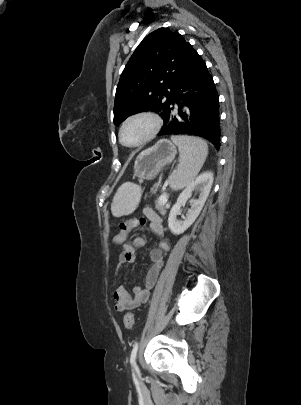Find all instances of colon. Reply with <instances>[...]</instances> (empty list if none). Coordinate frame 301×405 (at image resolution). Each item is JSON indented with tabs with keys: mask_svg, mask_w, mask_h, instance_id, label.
I'll return each instance as SVG.
<instances>
[{
	"mask_svg": "<svg viewBox=\"0 0 301 405\" xmlns=\"http://www.w3.org/2000/svg\"><path fill=\"white\" fill-rule=\"evenodd\" d=\"M146 224L145 218H134L122 220L119 222V232L113 237V242L117 247H122L126 242L127 235L135 228L144 226ZM124 325L126 329L131 330L134 326V315L131 312H127L124 316Z\"/></svg>",
	"mask_w": 301,
	"mask_h": 405,
	"instance_id": "1",
	"label": "colon"
}]
</instances>
